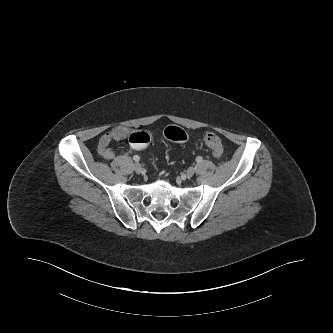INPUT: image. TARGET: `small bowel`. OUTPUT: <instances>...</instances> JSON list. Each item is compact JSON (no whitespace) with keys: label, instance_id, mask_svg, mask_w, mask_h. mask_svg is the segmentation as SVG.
<instances>
[{"label":"small bowel","instance_id":"obj_1","mask_svg":"<svg viewBox=\"0 0 333 333\" xmlns=\"http://www.w3.org/2000/svg\"><path fill=\"white\" fill-rule=\"evenodd\" d=\"M131 130L127 127L118 126L110 131L104 133L98 142L97 146V152L98 154L106 159V160H112L115 158V150L110 146L111 142L122 140L125 138L130 137Z\"/></svg>","mask_w":333,"mask_h":333}]
</instances>
